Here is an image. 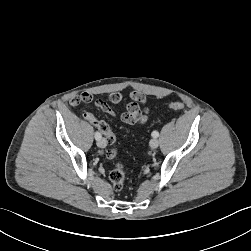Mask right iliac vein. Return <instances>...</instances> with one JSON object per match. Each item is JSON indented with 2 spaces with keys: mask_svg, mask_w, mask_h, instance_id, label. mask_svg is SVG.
Returning <instances> with one entry per match:
<instances>
[{
  "mask_svg": "<svg viewBox=\"0 0 251 251\" xmlns=\"http://www.w3.org/2000/svg\"><path fill=\"white\" fill-rule=\"evenodd\" d=\"M97 146H98L99 148H105V147H106V141H105V139L100 138V139L97 141Z\"/></svg>",
  "mask_w": 251,
  "mask_h": 251,
  "instance_id": "right-iliac-vein-1",
  "label": "right iliac vein"
}]
</instances>
